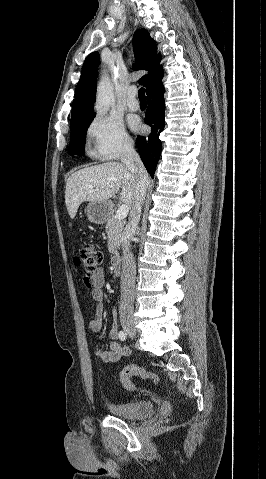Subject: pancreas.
Listing matches in <instances>:
<instances>
[{
  "label": "pancreas",
  "instance_id": "1",
  "mask_svg": "<svg viewBox=\"0 0 266 479\" xmlns=\"http://www.w3.org/2000/svg\"><path fill=\"white\" fill-rule=\"evenodd\" d=\"M124 222L112 215L107 220L106 233L108 237V250L111 254H118Z\"/></svg>",
  "mask_w": 266,
  "mask_h": 479
}]
</instances>
